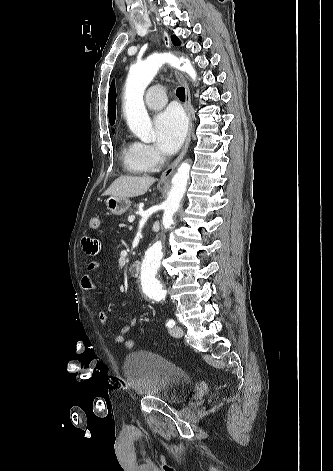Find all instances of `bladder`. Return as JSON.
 Here are the masks:
<instances>
[{
	"instance_id": "bladder-1",
	"label": "bladder",
	"mask_w": 333,
	"mask_h": 471,
	"mask_svg": "<svg viewBox=\"0 0 333 471\" xmlns=\"http://www.w3.org/2000/svg\"><path fill=\"white\" fill-rule=\"evenodd\" d=\"M124 375L137 395L168 404L182 403L193 389V380L185 370L149 351H136L127 355Z\"/></svg>"
}]
</instances>
